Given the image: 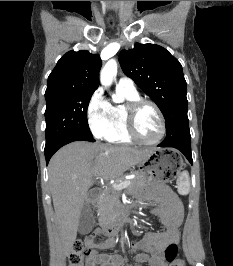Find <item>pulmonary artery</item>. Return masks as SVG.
<instances>
[{
	"mask_svg": "<svg viewBox=\"0 0 233 266\" xmlns=\"http://www.w3.org/2000/svg\"><path fill=\"white\" fill-rule=\"evenodd\" d=\"M117 88L129 92H136V87L134 85L133 80L126 76H123L118 80Z\"/></svg>",
	"mask_w": 233,
	"mask_h": 266,
	"instance_id": "pulmonary-artery-1",
	"label": "pulmonary artery"
}]
</instances>
